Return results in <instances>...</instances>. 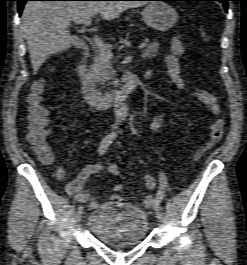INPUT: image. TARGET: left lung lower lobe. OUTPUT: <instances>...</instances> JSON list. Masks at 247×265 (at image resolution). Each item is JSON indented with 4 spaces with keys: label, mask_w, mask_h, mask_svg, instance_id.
<instances>
[{
    "label": "left lung lower lobe",
    "mask_w": 247,
    "mask_h": 265,
    "mask_svg": "<svg viewBox=\"0 0 247 265\" xmlns=\"http://www.w3.org/2000/svg\"><path fill=\"white\" fill-rule=\"evenodd\" d=\"M140 1H182V0H140ZM192 1H220L224 6L225 11L227 12L228 1H231V0H192Z\"/></svg>",
    "instance_id": "0a47b994"
}]
</instances>
